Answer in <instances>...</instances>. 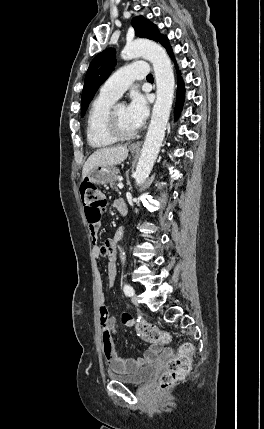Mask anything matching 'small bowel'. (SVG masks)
<instances>
[{"instance_id": "obj_1", "label": "small bowel", "mask_w": 264, "mask_h": 429, "mask_svg": "<svg viewBox=\"0 0 264 429\" xmlns=\"http://www.w3.org/2000/svg\"><path fill=\"white\" fill-rule=\"evenodd\" d=\"M124 202L122 199H116L113 206L117 208L118 204ZM99 224L90 225V235L93 240L92 255L95 259L101 256L108 258L107 280L111 287L115 283L117 276L116 266V245L123 238L124 231L119 230L114 238L107 239L102 245L97 243ZM97 299L99 305L100 324L102 329V345L104 356L112 371L116 373H129L139 369L143 365L156 362L162 352V346L151 344L144 354L139 358H124L118 354L113 343V333H115L117 324L113 316L110 315L105 305V295L100 274H97ZM169 355V352H165Z\"/></svg>"}]
</instances>
